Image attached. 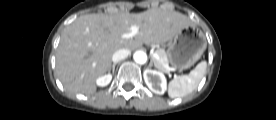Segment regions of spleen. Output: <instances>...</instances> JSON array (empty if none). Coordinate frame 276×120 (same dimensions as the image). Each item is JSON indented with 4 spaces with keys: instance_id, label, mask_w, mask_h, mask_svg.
Instances as JSON below:
<instances>
[{
    "instance_id": "1",
    "label": "spleen",
    "mask_w": 276,
    "mask_h": 120,
    "mask_svg": "<svg viewBox=\"0 0 276 120\" xmlns=\"http://www.w3.org/2000/svg\"><path fill=\"white\" fill-rule=\"evenodd\" d=\"M207 62H200L188 75H182L169 83L168 95L171 98L184 97L195 90L202 80Z\"/></svg>"
}]
</instances>
